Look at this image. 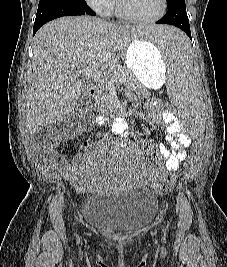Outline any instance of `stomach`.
Here are the masks:
<instances>
[{
    "instance_id": "0dacf381",
    "label": "stomach",
    "mask_w": 227,
    "mask_h": 267,
    "mask_svg": "<svg viewBox=\"0 0 227 267\" xmlns=\"http://www.w3.org/2000/svg\"><path fill=\"white\" fill-rule=\"evenodd\" d=\"M124 63L138 81L149 88H158L165 82L168 64L163 55H155L152 43L133 40L125 50Z\"/></svg>"
}]
</instances>
